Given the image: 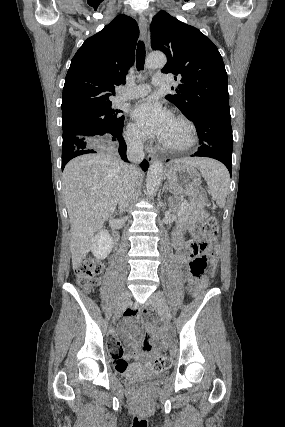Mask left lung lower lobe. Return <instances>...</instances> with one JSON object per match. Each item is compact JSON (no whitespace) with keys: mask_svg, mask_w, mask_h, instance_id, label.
<instances>
[{"mask_svg":"<svg viewBox=\"0 0 285 427\" xmlns=\"http://www.w3.org/2000/svg\"><path fill=\"white\" fill-rule=\"evenodd\" d=\"M190 120L197 128L201 145L191 156L217 159L231 172L233 136L230 114L207 110L195 114Z\"/></svg>","mask_w":285,"mask_h":427,"instance_id":"left-lung-lower-lobe-1","label":"left lung lower lobe"}]
</instances>
